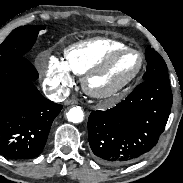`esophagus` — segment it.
Instances as JSON below:
<instances>
[{"instance_id": "34e87169", "label": "esophagus", "mask_w": 183, "mask_h": 183, "mask_svg": "<svg viewBox=\"0 0 183 183\" xmlns=\"http://www.w3.org/2000/svg\"><path fill=\"white\" fill-rule=\"evenodd\" d=\"M78 104V101L75 99H68L65 101V105H76Z\"/></svg>"}]
</instances>
